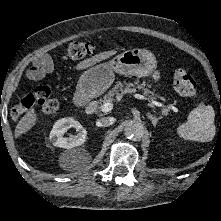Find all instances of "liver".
Here are the masks:
<instances>
[{"label": "liver", "instance_id": "obj_1", "mask_svg": "<svg viewBox=\"0 0 221 221\" xmlns=\"http://www.w3.org/2000/svg\"><path fill=\"white\" fill-rule=\"evenodd\" d=\"M117 53L116 50L111 51H105L100 54H97L91 58L85 59L84 61L80 62L77 66V70H83L86 69L98 62H101L102 60H105ZM37 121V114L35 113L34 109L29 110L19 121L15 128V137L18 138L22 134H25L29 130L32 129V127L36 124Z\"/></svg>", "mask_w": 221, "mask_h": 221}]
</instances>
